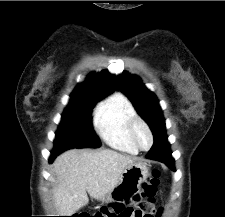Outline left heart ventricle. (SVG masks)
I'll return each mask as SVG.
<instances>
[{"instance_id":"1","label":"left heart ventricle","mask_w":225,"mask_h":217,"mask_svg":"<svg viewBox=\"0 0 225 217\" xmlns=\"http://www.w3.org/2000/svg\"><path fill=\"white\" fill-rule=\"evenodd\" d=\"M137 138L141 146L148 147L150 144V137L144 128H139L137 131Z\"/></svg>"}]
</instances>
